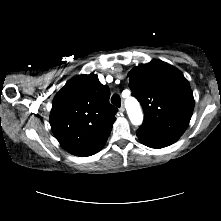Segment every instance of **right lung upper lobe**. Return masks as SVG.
<instances>
[{
  "label": "right lung upper lobe",
  "instance_id": "right-lung-upper-lobe-1",
  "mask_svg": "<svg viewBox=\"0 0 221 221\" xmlns=\"http://www.w3.org/2000/svg\"><path fill=\"white\" fill-rule=\"evenodd\" d=\"M109 97V87L93 73L73 78L56 94L50 125L65 150L84 157L102 149L116 120Z\"/></svg>",
  "mask_w": 221,
  "mask_h": 221
}]
</instances>
